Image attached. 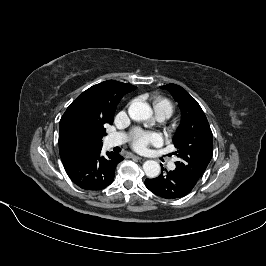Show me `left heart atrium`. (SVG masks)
Wrapping results in <instances>:
<instances>
[{
    "label": "left heart atrium",
    "mask_w": 266,
    "mask_h": 266,
    "mask_svg": "<svg viewBox=\"0 0 266 266\" xmlns=\"http://www.w3.org/2000/svg\"><path fill=\"white\" fill-rule=\"evenodd\" d=\"M161 137L157 133L137 131L134 136L133 146L137 150H145L149 144L160 142Z\"/></svg>",
    "instance_id": "39dd6f15"
}]
</instances>
